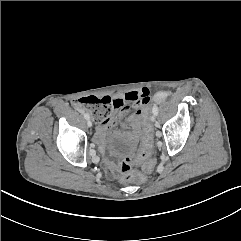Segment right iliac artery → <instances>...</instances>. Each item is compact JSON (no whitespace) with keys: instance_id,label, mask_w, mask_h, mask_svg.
I'll return each mask as SVG.
<instances>
[{"instance_id":"right-iliac-artery-1","label":"right iliac artery","mask_w":241,"mask_h":241,"mask_svg":"<svg viewBox=\"0 0 241 241\" xmlns=\"http://www.w3.org/2000/svg\"><path fill=\"white\" fill-rule=\"evenodd\" d=\"M85 119H89V115L87 113L84 114Z\"/></svg>"}]
</instances>
